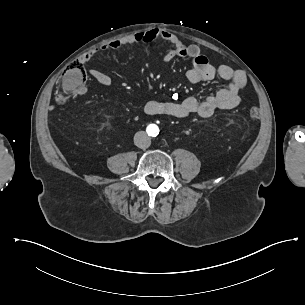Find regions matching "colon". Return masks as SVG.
<instances>
[{
    "label": "colon",
    "instance_id": "colon-1",
    "mask_svg": "<svg viewBox=\"0 0 305 305\" xmlns=\"http://www.w3.org/2000/svg\"><path fill=\"white\" fill-rule=\"evenodd\" d=\"M87 84L88 79L80 62L76 60L69 62L66 73L62 75L55 85L57 91L55 94L56 104L58 106H65L68 100L78 95L82 89L86 88ZM249 115L251 118L256 119L259 112L256 108H251Z\"/></svg>",
    "mask_w": 305,
    "mask_h": 305
}]
</instances>
